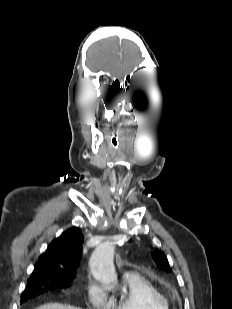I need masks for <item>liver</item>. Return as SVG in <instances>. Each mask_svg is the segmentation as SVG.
<instances>
[{
    "label": "liver",
    "instance_id": "6515ba94",
    "mask_svg": "<svg viewBox=\"0 0 232 309\" xmlns=\"http://www.w3.org/2000/svg\"><path fill=\"white\" fill-rule=\"evenodd\" d=\"M36 309H80L70 305H63L59 303H48L37 307Z\"/></svg>",
    "mask_w": 232,
    "mask_h": 309
}]
</instances>
